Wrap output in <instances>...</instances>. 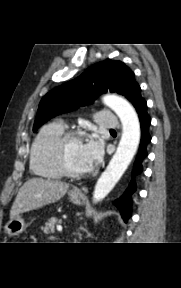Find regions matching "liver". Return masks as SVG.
<instances>
[{
    "label": "liver",
    "instance_id": "obj_1",
    "mask_svg": "<svg viewBox=\"0 0 181 288\" xmlns=\"http://www.w3.org/2000/svg\"><path fill=\"white\" fill-rule=\"evenodd\" d=\"M68 189L69 184L60 181L38 177L27 180L18 191L10 211V219L58 201Z\"/></svg>",
    "mask_w": 181,
    "mask_h": 288
}]
</instances>
